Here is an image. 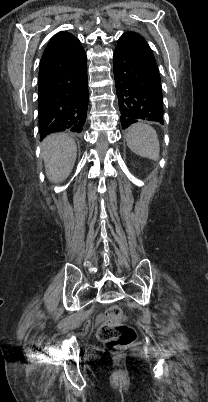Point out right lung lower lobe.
<instances>
[{"instance_id": "obj_1", "label": "right lung lower lobe", "mask_w": 208, "mask_h": 402, "mask_svg": "<svg viewBox=\"0 0 208 402\" xmlns=\"http://www.w3.org/2000/svg\"><path fill=\"white\" fill-rule=\"evenodd\" d=\"M38 98L40 140L58 131L82 132L88 108L86 53L72 34L47 45L40 61Z\"/></svg>"}]
</instances>
